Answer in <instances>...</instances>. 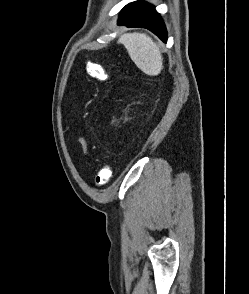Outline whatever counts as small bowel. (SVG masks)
I'll list each match as a JSON object with an SVG mask.
<instances>
[{
  "instance_id": "small-bowel-1",
  "label": "small bowel",
  "mask_w": 249,
  "mask_h": 294,
  "mask_svg": "<svg viewBox=\"0 0 249 294\" xmlns=\"http://www.w3.org/2000/svg\"><path fill=\"white\" fill-rule=\"evenodd\" d=\"M76 141H77L78 146H79L80 149H81V152H82L85 156H87L88 151H87V143H86L85 139L82 138V137H79V138H77Z\"/></svg>"
}]
</instances>
